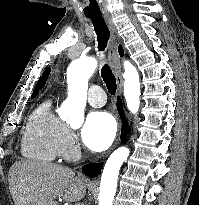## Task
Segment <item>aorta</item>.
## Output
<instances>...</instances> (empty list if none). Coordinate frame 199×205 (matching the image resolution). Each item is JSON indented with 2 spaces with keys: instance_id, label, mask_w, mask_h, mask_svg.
Masks as SVG:
<instances>
[{
  "instance_id": "aorta-1",
  "label": "aorta",
  "mask_w": 199,
  "mask_h": 205,
  "mask_svg": "<svg viewBox=\"0 0 199 205\" xmlns=\"http://www.w3.org/2000/svg\"><path fill=\"white\" fill-rule=\"evenodd\" d=\"M97 68L92 57H80L71 62L67 69L68 96L62 108L71 125H80L84 120L88 80ZM124 97L128 109L137 113L140 106V80L137 69L124 62ZM129 149L120 147L108 158L102 173L99 205H112L117 188L119 170L129 156Z\"/></svg>"
}]
</instances>
